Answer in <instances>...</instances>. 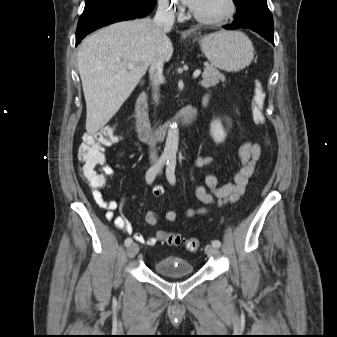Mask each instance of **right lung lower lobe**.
Wrapping results in <instances>:
<instances>
[{
    "label": "right lung lower lobe",
    "mask_w": 337,
    "mask_h": 337,
    "mask_svg": "<svg viewBox=\"0 0 337 337\" xmlns=\"http://www.w3.org/2000/svg\"><path fill=\"white\" fill-rule=\"evenodd\" d=\"M157 0H85V8L80 16L76 45L89 33L103 26L142 18L150 13Z\"/></svg>",
    "instance_id": "obj_1"
}]
</instances>
